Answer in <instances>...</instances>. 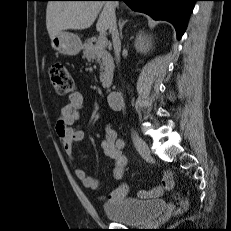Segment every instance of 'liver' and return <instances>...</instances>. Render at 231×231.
<instances>
[{
  "label": "liver",
  "instance_id": "obj_1",
  "mask_svg": "<svg viewBox=\"0 0 231 231\" xmlns=\"http://www.w3.org/2000/svg\"><path fill=\"white\" fill-rule=\"evenodd\" d=\"M115 8L112 2L49 1L46 9V26L50 39L64 30L89 28L98 15L97 31H110Z\"/></svg>",
  "mask_w": 231,
  "mask_h": 231
}]
</instances>
